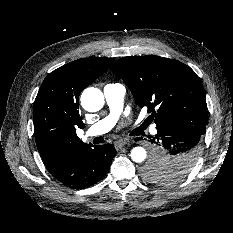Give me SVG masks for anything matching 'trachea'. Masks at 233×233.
I'll use <instances>...</instances> for the list:
<instances>
[{
	"instance_id": "trachea-1",
	"label": "trachea",
	"mask_w": 233,
	"mask_h": 233,
	"mask_svg": "<svg viewBox=\"0 0 233 233\" xmlns=\"http://www.w3.org/2000/svg\"><path fill=\"white\" fill-rule=\"evenodd\" d=\"M146 126H147V124L144 123L138 128V130H144L146 128Z\"/></svg>"
}]
</instances>
